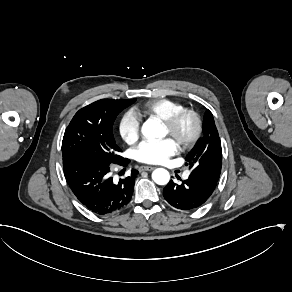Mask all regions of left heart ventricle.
<instances>
[{
  "label": "left heart ventricle",
  "instance_id": "left-heart-ventricle-1",
  "mask_svg": "<svg viewBox=\"0 0 292 292\" xmlns=\"http://www.w3.org/2000/svg\"><path fill=\"white\" fill-rule=\"evenodd\" d=\"M165 127H166V126H165ZM188 128H189V124L186 123V124H185V127H184V131L187 132V131H188ZM166 132L168 133V129H167V127H166Z\"/></svg>",
  "mask_w": 292,
  "mask_h": 292
}]
</instances>
